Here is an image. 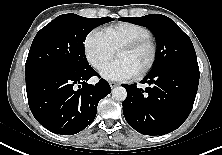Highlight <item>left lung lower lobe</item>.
<instances>
[{
	"instance_id": "1",
	"label": "left lung lower lobe",
	"mask_w": 222,
	"mask_h": 155,
	"mask_svg": "<svg viewBox=\"0 0 222 155\" xmlns=\"http://www.w3.org/2000/svg\"><path fill=\"white\" fill-rule=\"evenodd\" d=\"M141 83L123 85L127 98L123 114L128 124L144 135H164L176 130L189 116L198 89L199 70L182 66L149 72Z\"/></svg>"
}]
</instances>
